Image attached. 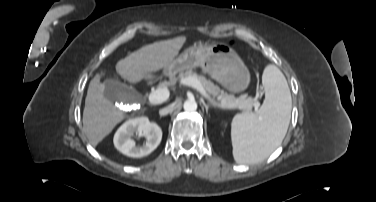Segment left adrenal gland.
Segmentation results:
<instances>
[{
	"instance_id": "1",
	"label": "left adrenal gland",
	"mask_w": 376,
	"mask_h": 202,
	"mask_svg": "<svg viewBox=\"0 0 376 202\" xmlns=\"http://www.w3.org/2000/svg\"><path fill=\"white\" fill-rule=\"evenodd\" d=\"M203 106L205 107L206 113L208 114L209 104H206L205 102H202Z\"/></svg>"
}]
</instances>
